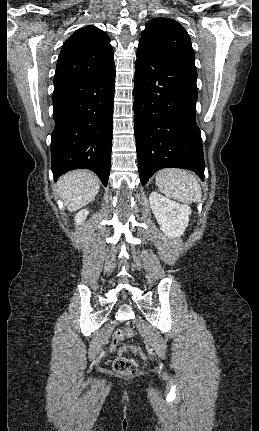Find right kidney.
I'll use <instances>...</instances> for the list:
<instances>
[{"label":"right kidney","mask_w":259,"mask_h":431,"mask_svg":"<svg viewBox=\"0 0 259 431\" xmlns=\"http://www.w3.org/2000/svg\"><path fill=\"white\" fill-rule=\"evenodd\" d=\"M88 214H89V211L87 209H83V210L79 211L74 218L75 224L77 226L81 225L84 222V220L86 219Z\"/></svg>","instance_id":"1"}]
</instances>
